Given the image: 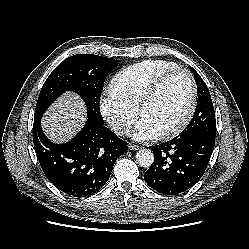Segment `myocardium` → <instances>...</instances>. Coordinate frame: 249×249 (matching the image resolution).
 <instances>
[{
	"instance_id": "1",
	"label": "myocardium",
	"mask_w": 249,
	"mask_h": 249,
	"mask_svg": "<svg viewBox=\"0 0 249 249\" xmlns=\"http://www.w3.org/2000/svg\"><path fill=\"white\" fill-rule=\"evenodd\" d=\"M182 72L184 73L189 81L190 85V100H189V106L183 117L172 127L164 130L161 132V135L163 137H172L177 134H179L181 131H183L186 126L191 121L197 105V85L196 81L194 79L193 74L191 71L185 67H175L173 69H170L161 75H159L148 87V89L145 91L143 96L141 97L138 106H137V112L140 116H142V112L145 109V107L155 98L157 93L159 92L162 85L165 83V81L170 78L172 75Z\"/></svg>"
}]
</instances>
